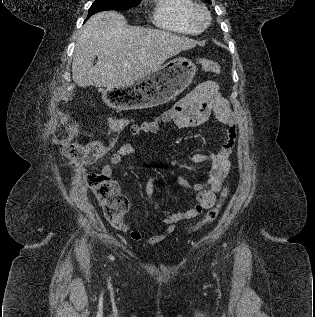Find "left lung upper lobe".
<instances>
[{
	"mask_svg": "<svg viewBox=\"0 0 315 317\" xmlns=\"http://www.w3.org/2000/svg\"><path fill=\"white\" fill-rule=\"evenodd\" d=\"M207 3L211 4V0H205Z\"/></svg>",
	"mask_w": 315,
	"mask_h": 317,
	"instance_id": "5c2ea615",
	"label": "left lung upper lobe"
}]
</instances>
